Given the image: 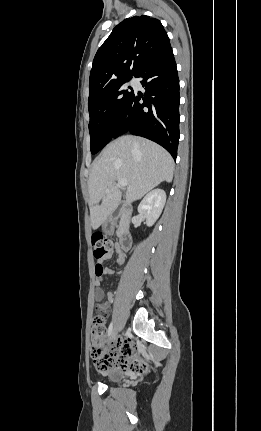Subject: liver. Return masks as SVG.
I'll list each match as a JSON object with an SVG mask.
<instances>
[{"label": "liver", "instance_id": "obj_1", "mask_svg": "<svg viewBox=\"0 0 261 431\" xmlns=\"http://www.w3.org/2000/svg\"><path fill=\"white\" fill-rule=\"evenodd\" d=\"M173 173L171 155L152 141L126 135L108 144L95 159L89 175L92 228L98 229L118 207L121 193L116 180H127L126 198L132 202L141 199L161 182L170 183Z\"/></svg>", "mask_w": 261, "mask_h": 431}]
</instances>
